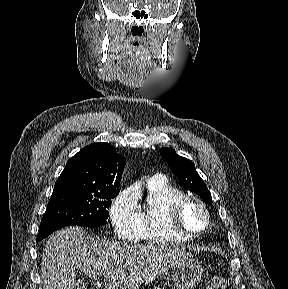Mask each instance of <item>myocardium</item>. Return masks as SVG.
Returning <instances> with one entry per match:
<instances>
[{"label": "myocardium", "mask_w": 288, "mask_h": 289, "mask_svg": "<svg viewBox=\"0 0 288 289\" xmlns=\"http://www.w3.org/2000/svg\"><path fill=\"white\" fill-rule=\"evenodd\" d=\"M188 203H195L197 204L203 211L205 218H206V226L200 232H189L181 223L180 220V212L182 208ZM167 218L169 225L173 230L177 233L181 234L182 236L188 239H195L204 234H206L211 228V217L210 212L206 206V204L198 197L193 195H183L175 200H173L167 208Z\"/></svg>", "instance_id": "1"}]
</instances>
